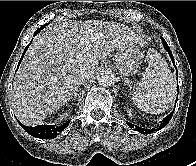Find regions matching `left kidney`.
I'll list each match as a JSON object with an SVG mask.
<instances>
[{"label": "left kidney", "mask_w": 196, "mask_h": 166, "mask_svg": "<svg viewBox=\"0 0 196 166\" xmlns=\"http://www.w3.org/2000/svg\"><path fill=\"white\" fill-rule=\"evenodd\" d=\"M127 114L129 117H133V112L131 109H127Z\"/></svg>", "instance_id": "5707ae66"}]
</instances>
